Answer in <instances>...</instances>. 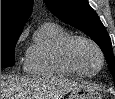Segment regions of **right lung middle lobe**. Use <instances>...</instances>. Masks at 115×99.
<instances>
[{
  "label": "right lung middle lobe",
  "instance_id": "obj_1",
  "mask_svg": "<svg viewBox=\"0 0 115 99\" xmlns=\"http://www.w3.org/2000/svg\"><path fill=\"white\" fill-rule=\"evenodd\" d=\"M20 34H1V68L15 63L14 47Z\"/></svg>",
  "mask_w": 115,
  "mask_h": 99
}]
</instances>
